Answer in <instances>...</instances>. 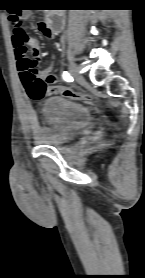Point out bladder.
I'll return each instance as SVG.
<instances>
[{
    "label": "bladder",
    "instance_id": "bladder-1",
    "mask_svg": "<svg viewBox=\"0 0 145 278\" xmlns=\"http://www.w3.org/2000/svg\"><path fill=\"white\" fill-rule=\"evenodd\" d=\"M45 126L36 134L37 142L61 145L92 121L91 110L82 102L54 95L43 104Z\"/></svg>",
    "mask_w": 145,
    "mask_h": 278
}]
</instances>
